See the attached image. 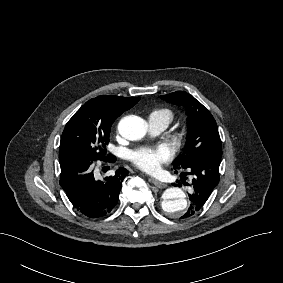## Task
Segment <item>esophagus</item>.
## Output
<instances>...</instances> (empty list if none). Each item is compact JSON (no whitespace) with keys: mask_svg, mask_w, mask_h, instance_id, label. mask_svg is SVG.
Instances as JSON below:
<instances>
[{"mask_svg":"<svg viewBox=\"0 0 283 283\" xmlns=\"http://www.w3.org/2000/svg\"><path fill=\"white\" fill-rule=\"evenodd\" d=\"M151 180H152V183H153L155 186H157L158 188H165V187H167V184H166V183H163V182H161V181H159V180H157V179H155V178H151Z\"/></svg>","mask_w":283,"mask_h":283,"instance_id":"34e87169","label":"esophagus"}]
</instances>
